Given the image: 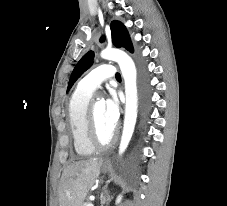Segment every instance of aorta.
Instances as JSON below:
<instances>
[{
	"label": "aorta",
	"instance_id": "1",
	"mask_svg": "<svg viewBox=\"0 0 227 206\" xmlns=\"http://www.w3.org/2000/svg\"><path fill=\"white\" fill-rule=\"evenodd\" d=\"M100 55L103 59L113 60L119 64L125 82V118L119 146V153L122 154L131 140L137 119V71L131 57L122 50L107 48Z\"/></svg>",
	"mask_w": 227,
	"mask_h": 206
}]
</instances>
